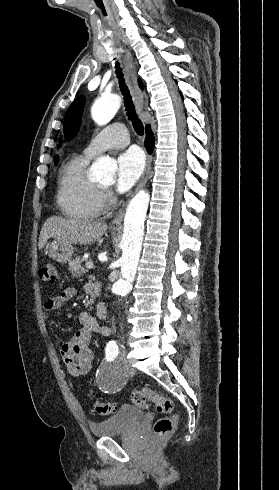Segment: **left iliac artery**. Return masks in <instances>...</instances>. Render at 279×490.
<instances>
[{
	"label": "left iliac artery",
	"instance_id": "obj_1",
	"mask_svg": "<svg viewBox=\"0 0 279 490\" xmlns=\"http://www.w3.org/2000/svg\"><path fill=\"white\" fill-rule=\"evenodd\" d=\"M118 353V346L115 344V342H109L106 347V356L116 357Z\"/></svg>",
	"mask_w": 279,
	"mask_h": 490
}]
</instances>
